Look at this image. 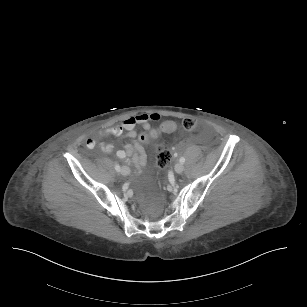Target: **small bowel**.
<instances>
[{
	"label": "small bowel",
	"mask_w": 307,
	"mask_h": 307,
	"mask_svg": "<svg viewBox=\"0 0 307 307\" xmlns=\"http://www.w3.org/2000/svg\"><path fill=\"white\" fill-rule=\"evenodd\" d=\"M160 115L157 113H140L134 116L125 118L120 124L112 126L100 133L101 136H113L119 137L125 135L132 140L131 144L125 145L122 149L116 152L119 159H129L130 163L133 164L136 169L140 170L146 166L148 157L145 148L142 147L140 142L137 141V132L135 127L140 125L144 129L145 127L151 126V122L157 121ZM97 145L96 140L88 139L86 146L93 148ZM100 149L104 153H112L114 146L111 143L100 144Z\"/></svg>",
	"instance_id": "c3829d8e"
}]
</instances>
